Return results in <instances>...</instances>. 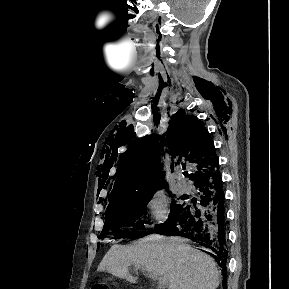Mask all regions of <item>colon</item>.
I'll return each instance as SVG.
<instances>
[{
	"label": "colon",
	"mask_w": 289,
	"mask_h": 289,
	"mask_svg": "<svg viewBox=\"0 0 289 289\" xmlns=\"http://www.w3.org/2000/svg\"><path fill=\"white\" fill-rule=\"evenodd\" d=\"M91 289H107L106 285L102 284V283H96L92 286Z\"/></svg>",
	"instance_id": "1"
}]
</instances>
